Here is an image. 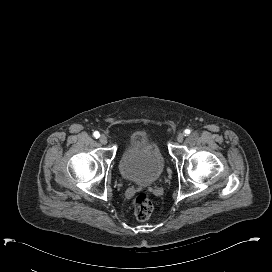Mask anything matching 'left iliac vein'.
<instances>
[{
  "label": "left iliac vein",
  "mask_w": 272,
  "mask_h": 272,
  "mask_svg": "<svg viewBox=\"0 0 272 272\" xmlns=\"http://www.w3.org/2000/svg\"><path fill=\"white\" fill-rule=\"evenodd\" d=\"M184 137H185V134H184V133H179V134L177 135V141H178L179 143L183 142Z\"/></svg>",
  "instance_id": "4c4485c4"
}]
</instances>
